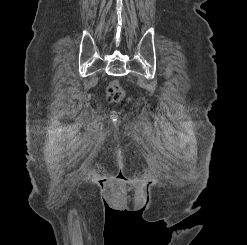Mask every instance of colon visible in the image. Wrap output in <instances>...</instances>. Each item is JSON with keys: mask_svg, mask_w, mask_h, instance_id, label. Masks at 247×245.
<instances>
[{"mask_svg": "<svg viewBox=\"0 0 247 245\" xmlns=\"http://www.w3.org/2000/svg\"><path fill=\"white\" fill-rule=\"evenodd\" d=\"M107 98L110 102H120L124 98V92L117 81H112L107 87Z\"/></svg>", "mask_w": 247, "mask_h": 245, "instance_id": "colon-1", "label": "colon"}]
</instances>
